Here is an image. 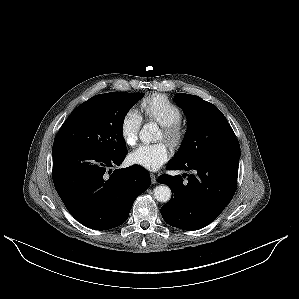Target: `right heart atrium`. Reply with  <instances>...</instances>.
<instances>
[{
	"instance_id": "obj_1",
	"label": "right heart atrium",
	"mask_w": 299,
	"mask_h": 299,
	"mask_svg": "<svg viewBox=\"0 0 299 299\" xmlns=\"http://www.w3.org/2000/svg\"><path fill=\"white\" fill-rule=\"evenodd\" d=\"M141 124L142 116L136 109L125 112L120 122V133L127 145L132 146L137 142Z\"/></svg>"
}]
</instances>
